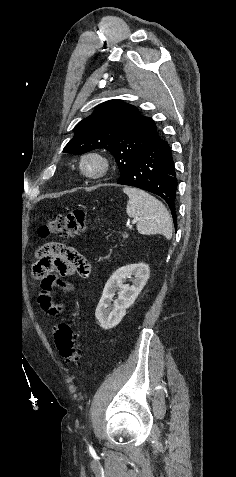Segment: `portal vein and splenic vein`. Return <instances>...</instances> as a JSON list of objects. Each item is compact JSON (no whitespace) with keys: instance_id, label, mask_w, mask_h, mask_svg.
<instances>
[{"instance_id":"1","label":"portal vein and splenic vein","mask_w":236,"mask_h":477,"mask_svg":"<svg viewBox=\"0 0 236 477\" xmlns=\"http://www.w3.org/2000/svg\"><path fill=\"white\" fill-rule=\"evenodd\" d=\"M132 223H136V220H133Z\"/></svg>"}]
</instances>
